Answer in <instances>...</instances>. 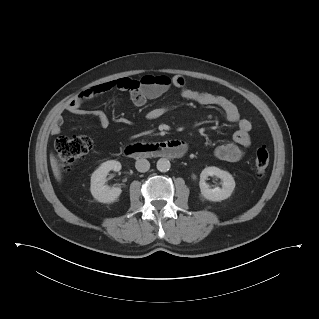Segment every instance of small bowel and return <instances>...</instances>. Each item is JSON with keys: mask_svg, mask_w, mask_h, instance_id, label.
Here are the masks:
<instances>
[{"mask_svg": "<svg viewBox=\"0 0 319 319\" xmlns=\"http://www.w3.org/2000/svg\"><path fill=\"white\" fill-rule=\"evenodd\" d=\"M126 80H128V78L110 81L85 89L77 97L67 102L65 111L73 115L92 116L96 118L100 127L107 128L110 124L109 116L102 110L87 111L83 109V104L113 88L121 89V86ZM171 85L178 89L181 96L187 100L200 105L218 108L223 112L228 122L237 126L233 134V142L217 146L214 150V154L218 159L223 161L231 162L240 160L244 156L245 150L250 146L252 125L249 120L241 118L236 105L224 96L189 88L184 78L180 75H176L172 78ZM166 90L154 95L143 94L142 92L131 93L130 99L135 105L142 106L149 99L162 95ZM165 112L166 109L164 107H154L147 112V118L149 120H156L162 117ZM61 122V118H58L57 122L53 125L51 129L53 135H59L61 133Z\"/></svg>", "mask_w": 319, "mask_h": 319, "instance_id": "small-bowel-1", "label": "small bowel"}]
</instances>
